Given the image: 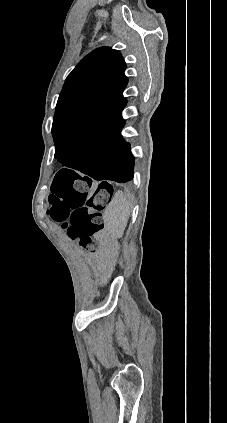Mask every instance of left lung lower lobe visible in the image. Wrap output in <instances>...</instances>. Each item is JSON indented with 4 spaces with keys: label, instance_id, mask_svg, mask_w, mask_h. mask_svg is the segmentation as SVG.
Listing matches in <instances>:
<instances>
[{
    "label": "left lung lower lobe",
    "instance_id": "left-lung-lower-lobe-1",
    "mask_svg": "<svg viewBox=\"0 0 227 423\" xmlns=\"http://www.w3.org/2000/svg\"><path fill=\"white\" fill-rule=\"evenodd\" d=\"M124 124L121 112L90 122L75 134L55 142V158L95 180L128 182L133 178L134 158L129 143L121 136ZM62 171L75 179L87 178L73 170Z\"/></svg>",
    "mask_w": 227,
    "mask_h": 423
}]
</instances>
